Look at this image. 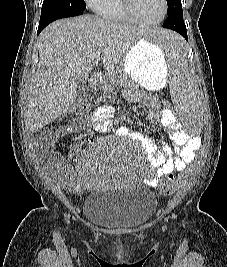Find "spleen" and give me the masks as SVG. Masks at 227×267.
Masks as SVG:
<instances>
[{
  "instance_id": "1",
  "label": "spleen",
  "mask_w": 227,
  "mask_h": 267,
  "mask_svg": "<svg viewBox=\"0 0 227 267\" xmlns=\"http://www.w3.org/2000/svg\"><path fill=\"white\" fill-rule=\"evenodd\" d=\"M148 30H161V33H151L146 36V41L157 43L163 55H166V63L169 67L170 89L175 105H200L197 100V89L191 81L188 68L190 63H185L188 50L179 33H172V29H161V25H148ZM176 115H202V106H178ZM202 116H180L182 129H187V134H202Z\"/></svg>"
}]
</instances>
